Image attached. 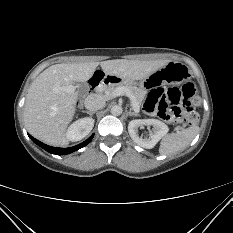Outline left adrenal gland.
<instances>
[{"label":"left adrenal gland","mask_w":233,"mask_h":233,"mask_svg":"<svg viewBox=\"0 0 233 233\" xmlns=\"http://www.w3.org/2000/svg\"><path fill=\"white\" fill-rule=\"evenodd\" d=\"M127 115H129V116H135V117L138 116L136 113H133V112H131V111H128V112H127Z\"/></svg>","instance_id":"obj_1"}]
</instances>
